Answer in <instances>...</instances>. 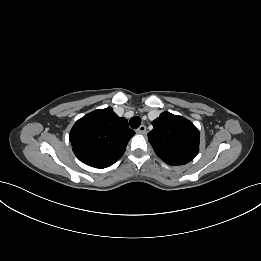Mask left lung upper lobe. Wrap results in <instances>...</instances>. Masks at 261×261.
<instances>
[{
    "instance_id": "1",
    "label": "left lung upper lobe",
    "mask_w": 261,
    "mask_h": 261,
    "mask_svg": "<svg viewBox=\"0 0 261 261\" xmlns=\"http://www.w3.org/2000/svg\"><path fill=\"white\" fill-rule=\"evenodd\" d=\"M148 140L156 155L169 165L190 162L199 151L200 134L192 122L182 116L163 112L153 122Z\"/></svg>"
}]
</instances>
